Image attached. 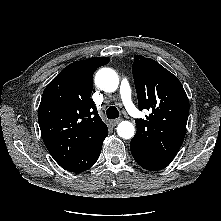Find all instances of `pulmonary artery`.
Listing matches in <instances>:
<instances>
[{"mask_svg": "<svg viewBox=\"0 0 221 221\" xmlns=\"http://www.w3.org/2000/svg\"><path fill=\"white\" fill-rule=\"evenodd\" d=\"M122 102L128 113L134 118H140L141 114L132 101L131 88L126 79H123L119 87Z\"/></svg>", "mask_w": 221, "mask_h": 221, "instance_id": "1", "label": "pulmonary artery"}]
</instances>
